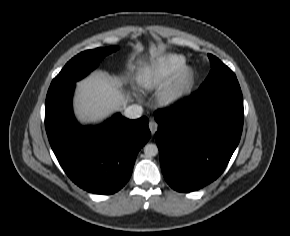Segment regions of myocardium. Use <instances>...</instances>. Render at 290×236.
<instances>
[{"label": "myocardium", "instance_id": "obj_1", "mask_svg": "<svg viewBox=\"0 0 290 236\" xmlns=\"http://www.w3.org/2000/svg\"><path fill=\"white\" fill-rule=\"evenodd\" d=\"M194 82L195 74L193 68L184 64L159 92L158 100L165 106H175L191 93Z\"/></svg>", "mask_w": 290, "mask_h": 236}]
</instances>
